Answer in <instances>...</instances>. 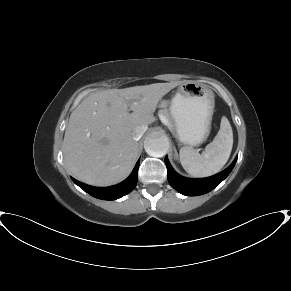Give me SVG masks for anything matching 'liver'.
Instances as JSON below:
<instances>
[{"label":"liver","instance_id":"obj_1","mask_svg":"<svg viewBox=\"0 0 291 291\" xmlns=\"http://www.w3.org/2000/svg\"><path fill=\"white\" fill-rule=\"evenodd\" d=\"M177 85L179 82L110 89L85 98L71 113L63 140L70 173L93 186L124 180L139 152L133 129L153 123L158 102Z\"/></svg>","mask_w":291,"mask_h":291}]
</instances>
